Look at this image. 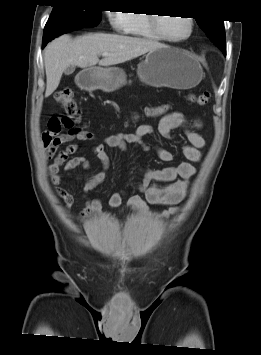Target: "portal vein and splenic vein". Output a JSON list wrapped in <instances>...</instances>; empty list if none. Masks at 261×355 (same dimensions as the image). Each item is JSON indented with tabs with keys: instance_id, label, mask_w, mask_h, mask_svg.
<instances>
[{
	"instance_id": "18ae733b",
	"label": "portal vein and splenic vein",
	"mask_w": 261,
	"mask_h": 355,
	"mask_svg": "<svg viewBox=\"0 0 261 355\" xmlns=\"http://www.w3.org/2000/svg\"><path fill=\"white\" fill-rule=\"evenodd\" d=\"M102 56H104V57L109 56V53L105 52L102 54Z\"/></svg>"
}]
</instances>
